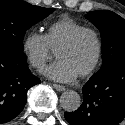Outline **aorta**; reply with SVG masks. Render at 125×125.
Here are the masks:
<instances>
[{
	"label": "aorta",
	"instance_id": "762f6f07",
	"mask_svg": "<svg viewBox=\"0 0 125 125\" xmlns=\"http://www.w3.org/2000/svg\"><path fill=\"white\" fill-rule=\"evenodd\" d=\"M60 104L65 111L73 112L81 105L80 95L73 90L65 91L60 97Z\"/></svg>",
	"mask_w": 125,
	"mask_h": 125
}]
</instances>
